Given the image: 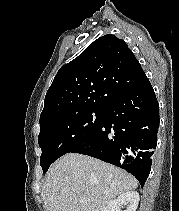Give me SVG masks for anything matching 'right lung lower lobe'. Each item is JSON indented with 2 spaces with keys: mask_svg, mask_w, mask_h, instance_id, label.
<instances>
[{
  "mask_svg": "<svg viewBox=\"0 0 179 211\" xmlns=\"http://www.w3.org/2000/svg\"><path fill=\"white\" fill-rule=\"evenodd\" d=\"M158 127L159 105L145 75L106 107L95 134L71 152L118 166L134 175L143 187L150 173Z\"/></svg>",
  "mask_w": 179,
  "mask_h": 211,
  "instance_id": "98d812e1",
  "label": "right lung lower lobe"
}]
</instances>
